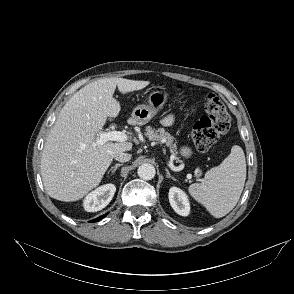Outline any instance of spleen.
Segmentation results:
<instances>
[{"label": "spleen", "instance_id": "1", "mask_svg": "<svg viewBox=\"0 0 294 294\" xmlns=\"http://www.w3.org/2000/svg\"><path fill=\"white\" fill-rule=\"evenodd\" d=\"M246 180V161L243 149L233 146L229 156L210 169L201 183L189 186L191 196L203 204L211 215L221 218L237 204Z\"/></svg>", "mask_w": 294, "mask_h": 294}]
</instances>
